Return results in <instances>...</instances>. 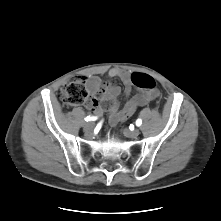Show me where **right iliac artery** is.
<instances>
[{"instance_id": "right-iliac-artery-1", "label": "right iliac artery", "mask_w": 221, "mask_h": 221, "mask_svg": "<svg viewBox=\"0 0 221 221\" xmlns=\"http://www.w3.org/2000/svg\"><path fill=\"white\" fill-rule=\"evenodd\" d=\"M96 120V117H94V116H87L86 118H85V121H95Z\"/></svg>"}]
</instances>
